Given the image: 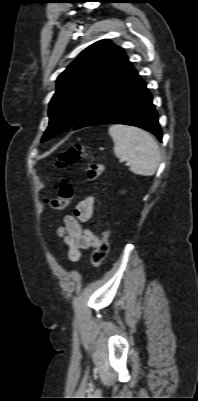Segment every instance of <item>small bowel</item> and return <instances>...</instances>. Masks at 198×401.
Wrapping results in <instances>:
<instances>
[{"instance_id":"1","label":"small bowel","mask_w":198,"mask_h":401,"mask_svg":"<svg viewBox=\"0 0 198 401\" xmlns=\"http://www.w3.org/2000/svg\"><path fill=\"white\" fill-rule=\"evenodd\" d=\"M94 199L87 197L81 200L72 214L63 219V225L58 228V235L68 246V258L72 262L80 260L81 251L97 247L98 235L91 229L82 226L93 215Z\"/></svg>"}]
</instances>
